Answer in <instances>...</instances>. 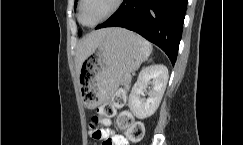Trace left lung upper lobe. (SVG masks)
Masks as SVG:
<instances>
[{
    "label": "left lung upper lobe",
    "mask_w": 243,
    "mask_h": 145,
    "mask_svg": "<svg viewBox=\"0 0 243 145\" xmlns=\"http://www.w3.org/2000/svg\"><path fill=\"white\" fill-rule=\"evenodd\" d=\"M76 1H77V0H75V6H74V8H76Z\"/></svg>",
    "instance_id": "1"
}]
</instances>
